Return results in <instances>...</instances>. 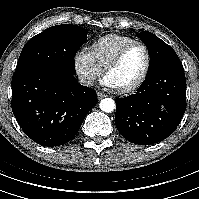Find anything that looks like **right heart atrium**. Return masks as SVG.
Listing matches in <instances>:
<instances>
[{"label":"right heart atrium","instance_id":"right-heart-atrium-1","mask_svg":"<svg viewBox=\"0 0 199 199\" xmlns=\"http://www.w3.org/2000/svg\"><path fill=\"white\" fill-rule=\"evenodd\" d=\"M73 62L76 73L84 84L91 86L100 78L102 70L94 63L88 50H78Z\"/></svg>","mask_w":199,"mask_h":199}]
</instances>
